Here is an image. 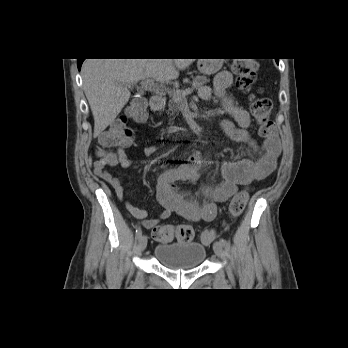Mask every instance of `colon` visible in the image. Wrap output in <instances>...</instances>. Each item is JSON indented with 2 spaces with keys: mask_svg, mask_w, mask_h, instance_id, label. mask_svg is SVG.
<instances>
[{
  "mask_svg": "<svg viewBox=\"0 0 348 348\" xmlns=\"http://www.w3.org/2000/svg\"><path fill=\"white\" fill-rule=\"evenodd\" d=\"M256 60L253 58H238L232 64V71L236 76V84L239 89L250 92L254 83L256 72ZM272 101L270 98L253 94L251 97L250 111L258 124L260 137H270L275 134L276 128L271 119ZM147 113L143 100H134L128 106L123 117L114 121L101 135L99 139L98 157L104 163H114L118 159V152L124 146L129 145L133 138V129L128 121L138 124L145 123ZM115 149V151H114ZM248 201V194L238 192L231 200L228 207L230 219L238 218L244 211ZM153 237L161 242H170L174 239L180 242H190L196 236V231L191 225H157L152 230ZM216 238L212 229L201 233L204 244H210Z\"/></svg>",
  "mask_w": 348,
  "mask_h": 348,
  "instance_id": "colon-1",
  "label": "colon"
}]
</instances>
